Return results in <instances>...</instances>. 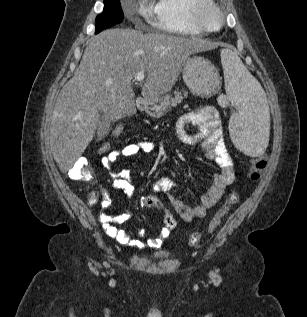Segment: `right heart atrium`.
Returning <instances> with one entry per match:
<instances>
[{
    "instance_id": "right-heart-atrium-1",
    "label": "right heart atrium",
    "mask_w": 307,
    "mask_h": 317,
    "mask_svg": "<svg viewBox=\"0 0 307 317\" xmlns=\"http://www.w3.org/2000/svg\"><path fill=\"white\" fill-rule=\"evenodd\" d=\"M137 11L144 15V16H149L150 15V10L147 8V5L143 2L141 5L138 7Z\"/></svg>"
}]
</instances>
